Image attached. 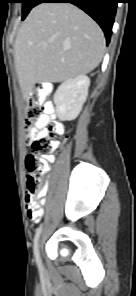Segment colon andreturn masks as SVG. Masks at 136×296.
Masks as SVG:
<instances>
[{
    "label": "colon",
    "instance_id": "1",
    "mask_svg": "<svg viewBox=\"0 0 136 296\" xmlns=\"http://www.w3.org/2000/svg\"><path fill=\"white\" fill-rule=\"evenodd\" d=\"M51 110L49 105H41L31 100L25 108L24 131L26 142L31 151L26 155L25 166L27 170V189L25 193V207L29 219L40 218V205L44 194V177L49 167L48 155L57 146V138L65 132V128L55 122H44L46 134L42 136L33 135V131L41 122V118Z\"/></svg>",
    "mask_w": 136,
    "mask_h": 296
}]
</instances>
